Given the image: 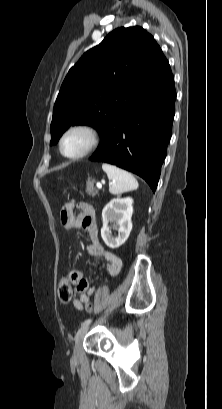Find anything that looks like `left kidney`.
<instances>
[{"label": "left kidney", "mask_w": 222, "mask_h": 409, "mask_svg": "<svg viewBox=\"0 0 222 409\" xmlns=\"http://www.w3.org/2000/svg\"><path fill=\"white\" fill-rule=\"evenodd\" d=\"M132 204L133 200L130 197L114 198L104 207L102 211L103 227L101 228V237L108 247L118 248L128 239L132 230ZM112 228L118 230L117 236L112 235Z\"/></svg>", "instance_id": "left-kidney-1"}]
</instances>
